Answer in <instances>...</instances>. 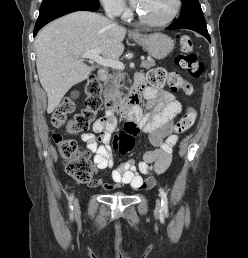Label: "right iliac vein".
Wrapping results in <instances>:
<instances>
[{
  "mask_svg": "<svg viewBox=\"0 0 248 258\" xmlns=\"http://www.w3.org/2000/svg\"><path fill=\"white\" fill-rule=\"evenodd\" d=\"M75 209L76 210L78 209V200L77 199L75 200Z\"/></svg>",
  "mask_w": 248,
  "mask_h": 258,
  "instance_id": "obj_1",
  "label": "right iliac vein"
}]
</instances>
